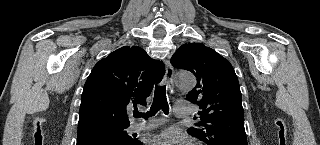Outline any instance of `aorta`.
Segmentation results:
<instances>
[{
	"mask_svg": "<svg viewBox=\"0 0 320 145\" xmlns=\"http://www.w3.org/2000/svg\"><path fill=\"white\" fill-rule=\"evenodd\" d=\"M176 84L181 89H192L196 84V79L191 73L177 72L175 76Z\"/></svg>",
	"mask_w": 320,
	"mask_h": 145,
	"instance_id": "obj_1",
	"label": "aorta"
}]
</instances>
